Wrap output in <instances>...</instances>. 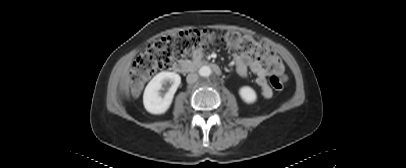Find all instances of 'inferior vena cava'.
Here are the masks:
<instances>
[{"instance_id":"obj_1","label":"inferior vena cava","mask_w":406,"mask_h":168,"mask_svg":"<svg viewBox=\"0 0 406 168\" xmlns=\"http://www.w3.org/2000/svg\"><path fill=\"white\" fill-rule=\"evenodd\" d=\"M198 80V75L196 73H189L186 77V81L189 84H193Z\"/></svg>"}]
</instances>
